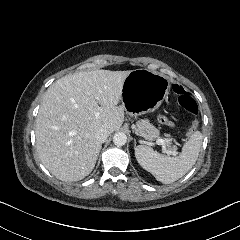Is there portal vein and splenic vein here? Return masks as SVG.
<instances>
[{"label": "portal vein and splenic vein", "instance_id": "portal-vein-and-splenic-vein-1", "mask_svg": "<svg viewBox=\"0 0 240 240\" xmlns=\"http://www.w3.org/2000/svg\"><path fill=\"white\" fill-rule=\"evenodd\" d=\"M163 143H164V140H162V139H157V140L154 142L155 145H162ZM150 144H153V143H150Z\"/></svg>", "mask_w": 240, "mask_h": 240}]
</instances>
